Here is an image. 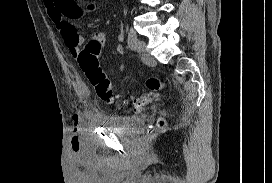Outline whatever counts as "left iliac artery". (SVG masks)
I'll use <instances>...</instances> for the list:
<instances>
[{"mask_svg": "<svg viewBox=\"0 0 272 183\" xmlns=\"http://www.w3.org/2000/svg\"><path fill=\"white\" fill-rule=\"evenodd\" d=\"M136 43H137V34L136 31L131 27L128 32V46L131 50L136 49Z\"/></svg>", "mask_w": 272, "mask_h": 183, "instance_id": "left-iliac-artery-1", "label": "left iliac artery"}]
</instances>
